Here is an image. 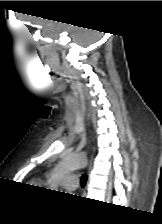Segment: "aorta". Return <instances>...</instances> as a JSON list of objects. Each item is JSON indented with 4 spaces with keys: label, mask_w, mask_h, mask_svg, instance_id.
Returning <instances> with one entry per match:
<instances>
[{
    "label": "aorta",
    "mask_w": 162,
    "mask_h": 224,
    "mask_svg": "<svg viewBox=\"0 0 162 224\" xmlns=\"http://www.w3.org/2000/svg\"><path fill=\"white\" fill-rule=\"evenodd\" d=\"M87 159L82 154H70L62 159L53 177L52 187H57V180L72 171L85 167Z\"/></svg>",
    "instance_id": "762f6f07"
}]
</instances>
